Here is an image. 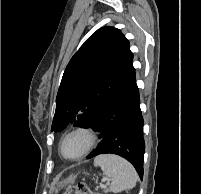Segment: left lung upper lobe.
<instances>
[{
    "instance_id": "5c2ea615",
    "label": "left lung upper lobe",
    "mask_w": 201,
    "mask_h": 194,
    "mask_svg": "<svg viewBox=\"0 0 201 194\" xmlns=\"http://www.w3.org/2000/svg\"><path fill=\"white\" fill-rule=\"evenodd\" d=\"M129 41L114 27L92 34L69 61L58 90L51 131L88 127L133 65Z\"/></svg>"
}]
</instances>
